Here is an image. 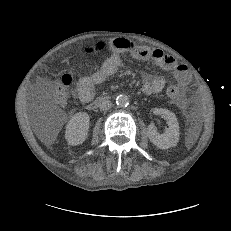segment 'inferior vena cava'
Wrapping results in <instances>:
<instances>
[{"label": "inferior vena cava", "instance_id": "inferior-vena-cava-1", "mask_svg": "<svg viewBox=\"0 0 231 231\" xmlns=\"http://www.w3.org/2000/svg\"><path fill=\"white\" fill-rule=\"evenodd\" d=\"M98 106L101 111H107L112 107V102L106 98H100L98 100Z\"/></svg>", "mask_w": 231, "mask_h": 231}]
</instances>
